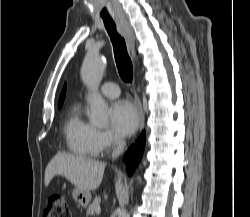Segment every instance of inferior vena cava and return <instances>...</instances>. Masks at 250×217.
Returning <instances> with one entry per match:
<instances>
[{
  "label": "inferior vena cava",
  "mask_w": 250,
  "mask_h": 217,
  "mask_svg": "<svg viewBox=\"0 0 250 217\" xmlns=\"http://www.w3.org/2000/svg\"><path fill=\"white\" fill-rule=\"evenodd\" d=\"M114 143H115V148H114L113 153H112L113 159L117 158L123 152L124 147L126 145L125 140H123L120 137H116L114 139Z\"/></svg>",
  "instance_id": "602c4592"
}]
</instances>
